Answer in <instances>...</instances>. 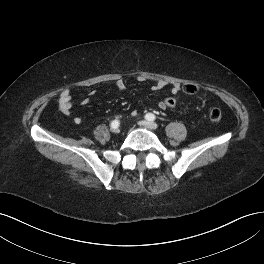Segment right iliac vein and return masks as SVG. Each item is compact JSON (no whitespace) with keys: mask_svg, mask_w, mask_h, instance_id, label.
<instances>
[{"mask_svg":"<svg viewBox=\"0 0 264 264\" xmlns=\"http://www.w3.org/2000/svg\"><path fill=\"white\" fill-rule=\"evenodd\" d=\"M112 132H114V133H119L120 132V130H119V128L117 127V128H112Z\"/></svg>","mask_w":264,"mask_h":264,"instance_id":"right-iliac-vein-1","label":"right iliac vein"}]
</instances>
